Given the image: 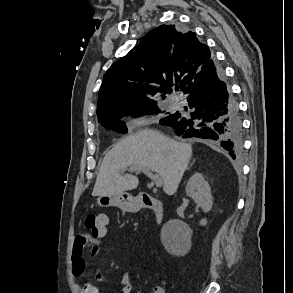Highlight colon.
Masks as SVG:
<instances>
[{"instance_id": "colon-1", "label": "colon", "mask_w": 293, "mask_h": 293, "mask_svg": "<svg viewBox=\"0 0 293 293\" xmlns=\"http://www.w3.org/2000/svg\"><path fill=\"white\" fill-rule=\"evenodd\" d=\"M108 219L104 214H88L84 220V226L94 236H99L103 233L107 226Z\"/></svg>"}]
</instances>
